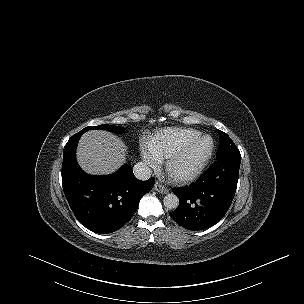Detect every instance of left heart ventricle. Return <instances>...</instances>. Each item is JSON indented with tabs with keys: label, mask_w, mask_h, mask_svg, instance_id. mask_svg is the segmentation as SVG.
Listing matches in <instances>:
<instances>
[{
	"label": "left heart ventricle",
	"mask_w": 304,
	"mask_h": 304,
	"mask_svg": "<svg viewBox=\"0 0 304 304\" xmlns=\"http://www.w3.org/2000/svg\"><path fill=\"white\" fill-rule=\"evenodd\" d=\"M209 147L210 141L208 139L202 140L181 159L176 169L180 172L193 169L207 154Z\"/></svg>",
	"instance_id": "1"
}]
</instances>
